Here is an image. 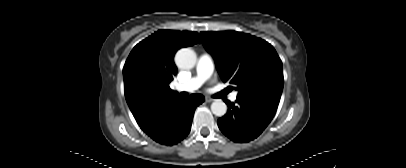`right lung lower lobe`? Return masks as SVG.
I'll use <instances>...</instances> for the list:
<instances>
[{"instance_id": "98d812e1", "label": "right lung lower lobe", "mask_w": 406, "mask_h": 168, "mask_svg": "<svg viewBox=\"0 0 406 168\" xmlns=\"http://www.w3.org/2000/svg\"><path fill=\"white\" fill-rule=\"evenodd\" d=\"M202 102L204 96L200 94L189 98L177 95L137 123L156 142L174 145L189 134L195 109Z\"/></svg>"}]
</instances>
